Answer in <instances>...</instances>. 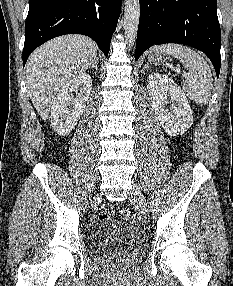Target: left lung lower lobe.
<instances>
[{
    "label": "left lung lower lobe",
    "instance_id": "left-lung-lower-lobe-1",
    "mask_svg": "<svg viewBox=\"0 0 233 286\" xmlns=\"http://www.w3.org/2000/svg\"><path fill=\"white\" fill-rule=\"evenodd\" d=\"M135 59L156 44L179 43L203 51L217 77L221 66V31L217 0H139Z\"/></svg>",
    "mask_w": 233,
    "mask_h": 286
}]
</instances>
